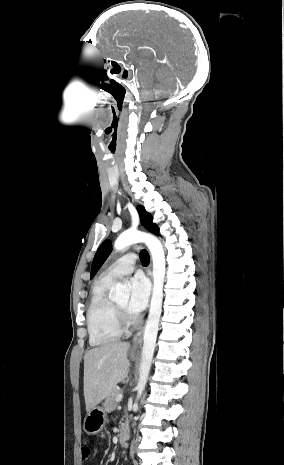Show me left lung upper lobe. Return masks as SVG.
I'll return each mask as SVG.
<instances>
[{
  "label": "left lung upper lobe",
  "instance_id": "5c2ea615",
  "mask_svg": "<svg viewBox=\"0 0 284 465\" xmlns=\"http://www.w3.org/2000/svg\"><path fill=\"white\" fill-rule=\"evenodd\" d=\"M137 209H138V212L141 218L142 225L150 232L154 234H158L159 232L158 226L152 223L153 218L151 214L147 213L143 206H139ZM111 247H112L111 241L106 240L101 244V246L97 250L94 256V259H93V263H92L91 278L95 275L97 270L102 266V264L104 263L108 255L110 254Z\"/></svg>",
  "mask_w": 284,
  "mask_h": 465
}]
</instances>
